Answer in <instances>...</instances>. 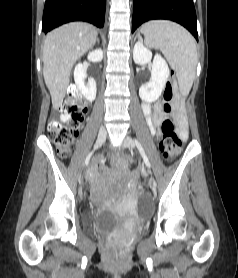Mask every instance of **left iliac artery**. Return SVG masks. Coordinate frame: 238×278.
Segmentation results:
<instances>
[{"mask_svg":"<svg viewBox=\"0 0 238 278\" xmlns=\"http://www.w3.org/2000/svg\"><path fill=\"white\" fill-rule=\"evenodd\" d=\"M134 141H135V145L137 146V148H138V150H139V152H140V154H141V156H142V158H143V160H144L145 165H146L148 168H150V167H151V164H150V162H149V160H148V157H147V155H146V153H145V151H144V149H143L141 143H140L136 138H134Z\"/></svg>","mask_w":238,"mask_h":278,"instance_id":"left-iliac-artery-1","label":"left iliac artery"}]
</instances>
